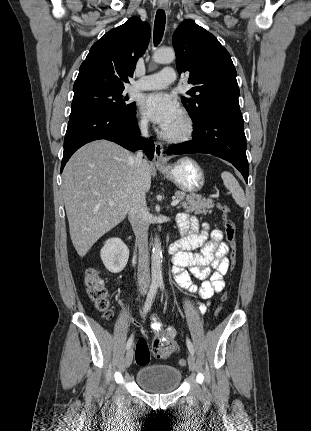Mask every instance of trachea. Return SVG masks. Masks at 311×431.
<instances>
[{"label":"trachea","mask_w":311,"mask_h":431,"mask_svg":"<svg viewBox=\"0 0 311 431\" xmlns=\"http://www.w3.org/2000/svg\"><path fill=\"white\" fill-rule=\"evenodd\" d=\"M165 30V12L164 10H157L154 22V45L157 46L164 34Z\"/></svg>","instance_id":"trachea-1"}]
</instances>
